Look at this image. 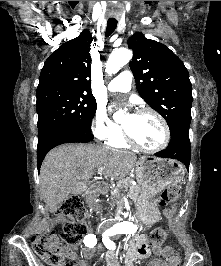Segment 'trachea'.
<instances>
[{"label": "trachea", "mask_w": 221, "mask_h": 266, "mask_svg": "<svg viewBox=\"0 0 221 266\" xmlns=\"http://www.w3.org/2000/svg\"><path fill=\"white\" fill-rule=\"evenodd\" d=\"M116 27H117L116 20H108L105 36L109 37L115 31Z\"/></svg>", "instance_id": "1"}]
</instances>
